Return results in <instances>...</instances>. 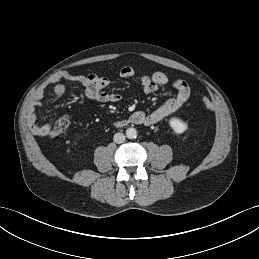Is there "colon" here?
I'll use <instances>...</instances> for the list:
<instances>
[{
  "label": "colon",
  "instance_id": "colon-1",
  "mask_svg": "<svg viewBox=\"0 0 259 259\" xmlns=\"http://www.w3.org/2000/svg\"><path fill=\"white\" fill-rule=\"evenodd\" d=\"M203 107L208 110V111H212L213 110V105L211 103L210 100L204 98L202 101ZM70 125V120L68 117L64 116L59 118L53 128L50 131V136L52 138H61L67 131V129L69 128Z\"/></svg>",
  "mask_w": 259,
  "mask_h": 259
}]
</instances>
